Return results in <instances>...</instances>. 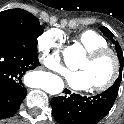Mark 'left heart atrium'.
<instances>
[{
	"label": "left heart atrium",
	"instance_id": "39dd6f15",
	"mask_svg": "<svg viewBox=\"0 0 124 124\" xmlns=\"http://www.w3.org/2000/svg\"><path fill=\"white\" fill-rule=\"evenodd\" d=\"M67 84L76 90H87L92 87L91 80L87 71H65Z\"/></svg>",
	"mask_w": 124,
	"mask_h": 124
}]
</instances>
